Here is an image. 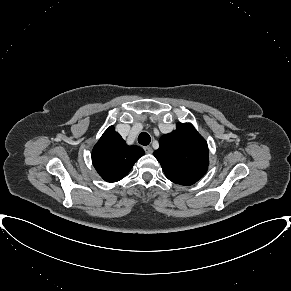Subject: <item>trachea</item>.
I'll return each mask as SVG.
<instances>
[{"label":"trachea","mask_w":291,"mask_h":291,"mask_svg":"<svg viewBox=\"0 0 291 291\" xmlns=\"http://www.w3.org/2000/svg\"><path fill=\"white\" fill-rule=\"evenodd\" d=\"M151 141L150 135L146 132H142L139 136H138V142L141 145H148Z\"/></svg>","instance_id":"3493384b"}]
</instances>
